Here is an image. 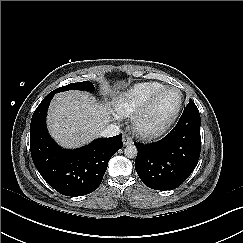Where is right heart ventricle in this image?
I'll list each match as a JSON object with an SVG mask.
<instances>
[{
    "label": "right heart ventricle",
    "mask_w": 243,
    "mask_h": 243,
    "mask_svg": "<svg viewBox=\"0 0 243 243\" xmlns=\"http://www.w3.org/2000/svg\"><path fill=\"white\" fill-rule=\"evenodd\" d=\"M164 84L157 81L139 82L118 94L112 104L114 111L123 117L134 115Z\"/></svg>",
    "instance_id": "obj_1"
}]
</instances>
